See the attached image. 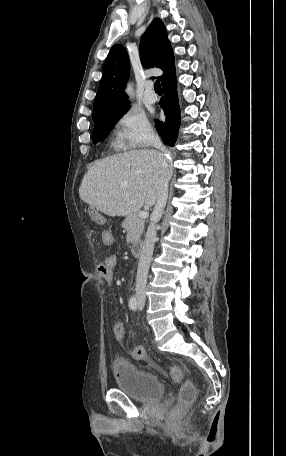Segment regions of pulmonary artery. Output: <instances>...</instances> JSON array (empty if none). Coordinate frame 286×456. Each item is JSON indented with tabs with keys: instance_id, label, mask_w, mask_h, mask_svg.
<instances>
[{
	"instance_id": "e3ab8cb5",
	"label": "pulmonary artery",
	"mask_w": 286,
	"mask_h": 456,
	"mask_svg": "<svg viewBox=\"0 0 286 456\" xmlns=\"http://www.w3.org/2000/svg\"><path fill=\"white\" fill-rule=\"evenodd\" d=\"M152 88L153 84L151 82H148L144 92V98L148 103H155L157 101V95Z\"/></svg>"
}]
</instances>
